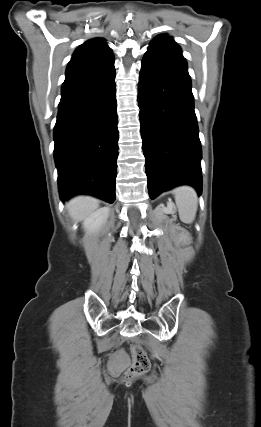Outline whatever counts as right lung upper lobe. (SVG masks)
<instances>
[{
	"label": "right lung upper lobe",
	"instance_id": "1",
	"mask_svg": "<svg viewBox=\"0 0 261 427\" xmlns=\"http://www.w3.org/2000/svg\"><path fill=\"white\" fill-rule=\"evenodd\" d=\"M114 67V56L103 39L89 40L74 52L62 88L100 75Z\"/></svg>",
	"mask_w": 261,
	"mask_h": 427
}]
</instances>
